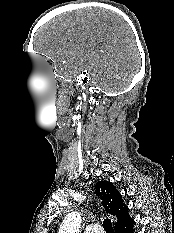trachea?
I'll list each match as a JSON object with an SVG mask.
<instances>
[{"mask_svg": "<svg viewBox=\"0 0 174 233\" xmlns=\"http://www.w3.org/2000/svg\"><path fill=\"white\" fill-rule=\"evenodd\" d=\"M103 228L105 229L106 233H114L113 227H112V222L109 218H106L103 221Z\"/></svg>", "mask_w": 174, "mask_h": 233, "instance_id": "1", "label": "trachea"}]
</instances>
